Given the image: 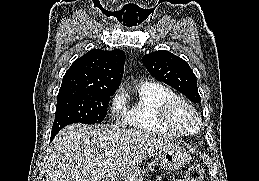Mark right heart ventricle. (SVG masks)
<instances>
[{
	"mask_svg": "<svg viewBox=\"0 0 259 181\" xmlns=\"http://www.w3.org/2000/svg\"><path fill=\"white\" fill-rule=\"evenodd\" d=\"M137 94V100L125 111L126 126L149 134L168 137L183 136L163 122L164 107L178 98L171 88L158 82H145L139 86Z\"/></svg>",
	"mask_w": 259,
	"mask_h": 181,
	"instance_id": "1",
	"label": "right heart ventricle"
}]
</instances>
